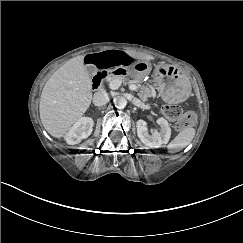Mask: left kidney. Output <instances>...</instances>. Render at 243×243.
I'll list each match as a JSON object with an SVG mask.
<instances>
[{
  "mask_svg": "<svg viewBox=\"0 0 243 243\" xmlns=\"http://www.w3.org/2000/svg\"><path fill=\"white\" fill-rule=\"evenodd\" d=\"M156 122L160 125V132H155L153 135L148 133L144 121L140 120L137 122V135L141 142L149 149L159 148L167 144L171 136V129L166 119L161 117Z\"/></svg>",
  "mask_w": 243,
  "mask_h": 243,
  "instance_id": "5707ae66",
  "label": "left kidney"
}]
</instances>
